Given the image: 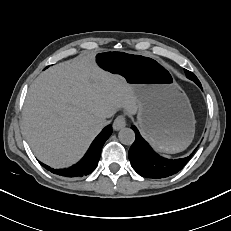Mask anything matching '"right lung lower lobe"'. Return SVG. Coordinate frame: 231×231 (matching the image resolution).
<instances>
[{
	"instance_id": "right-lung-lower-lobe-1",
	"label": "right lung lower lobe",
	"mask_w": 231,
	"mask_h": 231,
	"mask_svg": "<svg viewBox=\"0 0 231 231\" xmlns=\"http://www.w3.org/2000/svg\"><path fill=\"white\" fill-rule=\"evenodd\" d=\"M111 133H112V126L111 125L106 126L92 142L89 150L87 151L85 156L81 159V161L70 168L53 169L43 163L40 164L47 170L51 171L52 173L63 177L73 178V177L86 176L96 168L98 161L100 159L102 147L105 141L110 137Z\"/></svg>"
}]
</instances>
